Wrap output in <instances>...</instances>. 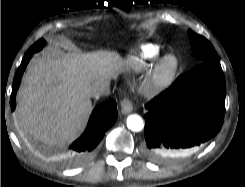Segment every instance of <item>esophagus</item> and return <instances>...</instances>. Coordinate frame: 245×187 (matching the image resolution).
I'll use <instances>...</instances> for the list:
<instances>
[{
	"instance_id": "34e87169",
	"label": "esophagus",
	"mask_w": 245,
	"mask_h": 187,
	"mask_svg": "<svg viewBox=\"0 0 245 187\" xmlns=\"http://www.w3.org/2000/svg\"><path fill=\"white\" fill-rule=\"evenodd\" d=\"M121 113L128 114L133 110V106L131 104V101L128 98H124L121 103Z\"/></svg>"
}]
</instances>
